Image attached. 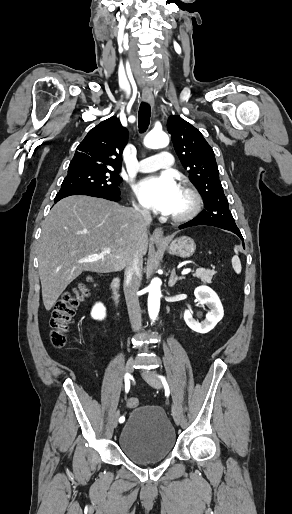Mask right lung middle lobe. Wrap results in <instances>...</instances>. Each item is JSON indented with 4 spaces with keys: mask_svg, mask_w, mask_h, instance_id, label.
<instances>
[{
    "mask_svg": "<svg viewBox=\"0 0 292 514\" xmlns=\"http://www.w3.org/2000/svg\"><path fill=\"white\" fill-rule=\"evenodd\" d=\"M119 172H71L64 178L59 193L67 191H90L119 193L122 178Z\"/></svg>",
    "mask_w": 292,
    "mask_h": 514,
    "instance_id": "1",
    "label": "right lung middle lobe"
}]
</instances>
